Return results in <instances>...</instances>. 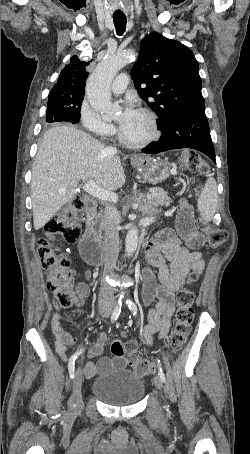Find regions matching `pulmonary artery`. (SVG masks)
<instances>
[{"label":"pulmonary artery","instance_id":"pulmonary-artery-1","mask_svg":"<svg viewBox=\"0 0 250 454\" xmlns=\"http://www.w3.org/2000/svg\"><path fill=\"white\" fill-rule=\"evenodd\" d=\"M128 83H129L128 75L125 73L120 74L112 82L111 90L115 94L123 93L127 88Z\"/></svg>","mask_w":250,"mask_h":454}]
</instances>
